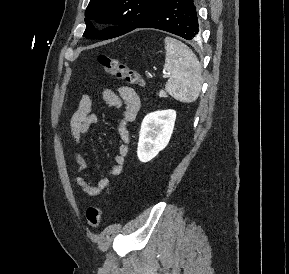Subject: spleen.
Here are the masks:
<instances>
[{
  "mask_svg": "<svg viewBox=\"0 0 289 274\" xmlns=\"http://www.w3.org/2000/svg\"><path fill=\"white\" fill-rule=\"evenodd\" d=\"M165 51L164 68L170 75L166 91L178 101H195L201 91V65L196 55L184 43L171 37L165 38Z\"/></svg>",
  "mask_w": 289,
  "mask_h": 274,
  "instance_id": "3e777b00",
  "label": "spleen"
}]
</instances>
